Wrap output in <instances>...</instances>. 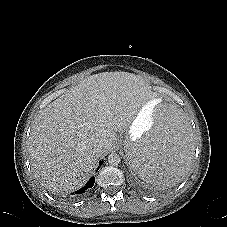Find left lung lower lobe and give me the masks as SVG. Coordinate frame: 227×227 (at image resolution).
<instances>
[{
    "label": "left lung lower lobe",
    "mask_w": 227,
    "mask_h": 227,
    "mask_svg": "<svg viewBox=\"0 0 227 227\" xmlns=\"http://www.w3.org/2000/svg\"><path fill=\"white\" fill-rule=\"evenodd\" d=\"M190 144H192V136L183 135L180 132H175L171 142H169L168 145L163 149L157 150V152L160 153L161 156L159 160L160 170L164 173H170L172 168H174L175 166L179 167V160ZM137 158L140 161L142 159L141 154H139ZM132 169L135 171L133 167Z\"/></svg>",
    "instance_id": "left-lung-lower-lobe-1"
}]
</instances>
